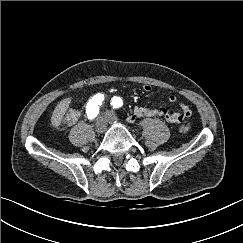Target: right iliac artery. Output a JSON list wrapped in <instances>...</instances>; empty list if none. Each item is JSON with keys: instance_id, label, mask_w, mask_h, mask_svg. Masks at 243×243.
I'll use <instances>...</instances> for the list:
<instances>
[{"instance_id": "82829eb1", "label": "right iliac artery", "mask_w": 243, "mask_h": 243, "mask_svg": "<svg viewBox=\"0 0 243 243\" xmlns=\"http://www.w3.org/2000/svg\"><path fill=\"white\" fill-rule=\"evenodd\" d=\"M103 100L104 95L98 93L87 103L86 113L90 120L94 119L99 113V106L102 104Z\"/></svg>"}]
</instances>
